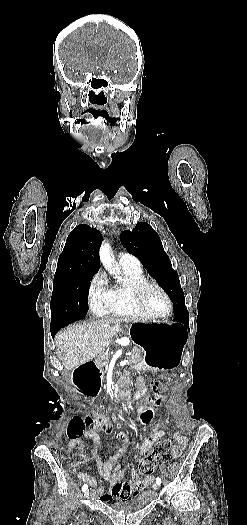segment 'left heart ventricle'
Returning a JSON list of instances; mask_svg holds the SVG:
<instances>
[{"label":"left heart ventricle","instance_id":"left-heart-ventricle-1","mask_svg":"<svg viewBox=\"0 0 247 525\" xmlns=\"http://www.w3.org/2000/svg\"><path fill=\"white\" fill-rule=\"evenodd\" d=\"M141 297L145 307L154 313H160L167 307L164 295L153 285H147L142 290Z\"/></svg>","mask_w":247,"mask_h":525}]
</instances>
